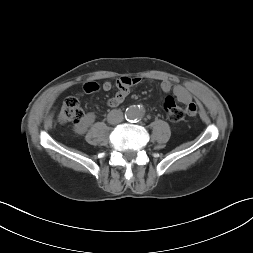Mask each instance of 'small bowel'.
I'll list each match as a JSON object with an SVG mask.
<instances>
[{
	"mask_svg": "<svg viewBox=\"0 0 253 253\" xmlns=\"http://www.w3.org/2000/svg\"><path fill=\"white\" fill-rule=\"evenodd\" d=\"M141 82L140 77H120L117 80V92L108 99L107 104L111 107H116L120 105L128 96L131 87L139 84ZM112 88V84L110 82H104L102 85V89L104 91H110ZM160 88L165 93L172 92L175 97L181 103L186 106L182 110V115L185 118H193L197 114V105L193 100V96L191 92L182 85H172V83L168 80H163L160 84ZM99 89V86L95 82H87L84 85V90L87 93H94Z\"/></svg>",
	"mask_w": 253,
	"mask_h": 253,
	"instance_id": "1",
	"label": "small bowel"
}]
</instances>
